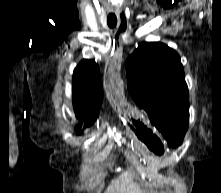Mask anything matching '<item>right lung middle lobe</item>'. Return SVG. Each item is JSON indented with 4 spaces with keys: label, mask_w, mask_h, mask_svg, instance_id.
Wrapping results in <instances>:
<instances>
[{
    "label": "right lung middle lobe",
    "mask_w": 221,
    "mask_h": 193,
    "mask_svg": "<svg viewBox=\"0 0 221 193\" xmlns=\"http://www.w3.org/2000/svg\"><path fill=\"white\" fill-rule=\"evenodd\" d=\"M77 134H81V132L79 131V132H77Z\"/></svg>",
    "instance_id": "dd1d6c3e"
}]
</instances>
